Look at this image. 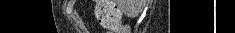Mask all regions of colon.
Here are the masks:
<instances>
[{
    "mask_svg": "<svg viewBox=\"0 0 235 33\" xmlns=\"http://www.w3.org/2000/svg\"><path fill=\"white\" fill-rule=\"evenodd\" d=\"M95 14L101 25L107 29L122 33L121 11L112 0H97Z\"/></svg>",
    "mask_w": 235,
    "mask_h": 33,
    "instance_id": "obj_1",
    "label": "colon"
}]
</instances>
